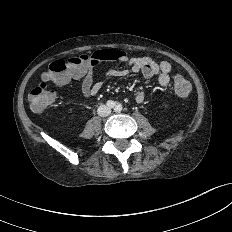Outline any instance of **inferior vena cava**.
I'll return each mask as SVG.
<instances>
[{
    "mask_svg": "<svg viewBox=\"0 0 232 232\" xmlns=\"http://www.w3.org/2000/svg\"><path fill=\"white\" fill-rule=\"evenodd\" d=\"M97 112L99 116L106 117L111 113V109L106 105H100Z\"/></svg>",
    "mask_w": 232,
    "mask_h": 232,
    "instance_id": "602c4592",
    "label": "inferior vena cava"
}]
</instances>
